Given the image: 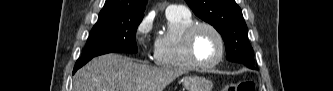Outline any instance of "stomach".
<instances>
[{"label":"stomach","mask_w":333,"mask_h":91,"mask_svg":"<svg viewBox=\"0 0 333 91\" xmlns=\"http://www.w3.org/2000/svg\"><path fill=\"white\" fill-rule=\"evenodd\" d=\"M186 91H211L213 83L201 76H186L182 79Z\"/></svg>","instance_id":"obj_1"}]
</instances>
